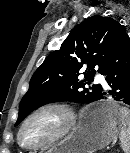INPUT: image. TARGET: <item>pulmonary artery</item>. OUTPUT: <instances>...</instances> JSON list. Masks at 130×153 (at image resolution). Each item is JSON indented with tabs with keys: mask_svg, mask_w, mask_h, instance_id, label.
<instances>
[{
	"mask_svg": "<svg viewBox=\"0 0 130 153\" xmlns=\"http://www.w3.org/2000/svg\"><path fill=\"white\" fill-rule=\"evenodd\" d=\"M95 81H96L97 83L102 84L103 86L106 85V82H105L103 76H101L100 74H96V75H95Z\"/></svg>",
	"mask_w": 130,
	"mask_h": 153,
	"instance_id": "1",
	"label": "pulmonary artery"
}]
</instances>
